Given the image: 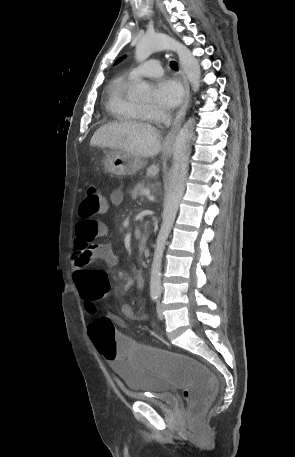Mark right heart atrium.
Segmentation results:
<instances>
[{"instance_id": "obj_1", "label": "right heart atrium", "mask_w": 295, "mask_h": 457, "mask_svg": "<svg viewBox=\"0 0 295 457\" xmlns=\"http://www.w3.org/2000/svg\"><path fill=\"white\" fill-rule=\"evenodd\" d=\"M143 113L148 120H158L165 116V112L154 106H143Z\"/></svg>"}]
</instances>
